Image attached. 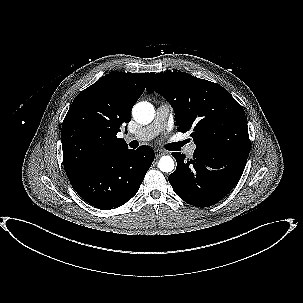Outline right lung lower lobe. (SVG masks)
Masks as SVG:
<instances>
[{"instance_id":"1","label":"right lung lower lobe","mask_w":303,"mask_h":303,"mask_svg":"<svg viewBox=\"0 0 303 303\" xmlns=\"http://www.w3.org/2000/svg\"><path fill=\"white\" fill-rule=\"evenodd\" d=\"M154 160V151L141 146L127 149L103 160L70 180L73 189L92 206L115 209L130 200Z\"/></svg>"}]
</instances>
